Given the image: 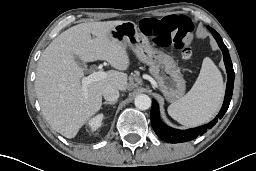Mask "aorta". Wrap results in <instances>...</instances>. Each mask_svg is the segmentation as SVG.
Returning <instances> with one entry per match:
<instances>
[{
    "label": "aorta",
    "mask_w": 256,
    "mask_h": 171,
    "mask_svg": "<svg viewBox=\"0 0 256 171\" xmlns=\"http://www.w3.org/2000/svg\"><path fill=\"white\" fill-rule=\"evenodd\" d=\"M134 104L139 110H147L151 107V99L146 94L136 96Z\"/></svg>",
    "instance_id": "1"
}]
</instances>
